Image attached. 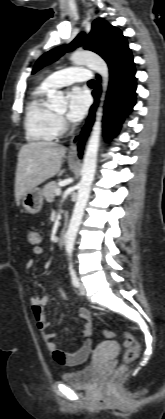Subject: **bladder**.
I'll use <instances>...</instances> for the list:
<instances>
[{"mask_svg": "<svg viewBox=\"0 0 165 419\" xmlns=\"http://www.w3.org/2000/svg\"><path fill=\"white\" fill-rule=\"evenodd\" d=\"M61 378L70 387L90 389L98 382L99 375L94 365H88L76 370L64 372Z\"/></svg>", "mask_w": 165, "mask_h": 419, "instance_id": "obj_1", "label": "bladder"}]
</instances>
